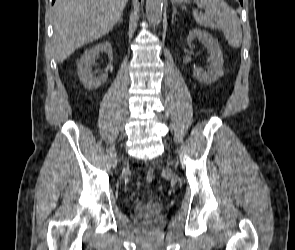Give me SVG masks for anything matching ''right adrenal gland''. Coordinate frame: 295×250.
<instances>
[{
    "label": "right adrenal gland",
    "mask_w": 295,
    "mask_h": 250,
    "mask_svg": "<svg viewBox=\"0 0 295 250\" xmlns=\"http://www.w3.org/2000/svg\"><path fill=\"white\" fill-rule=\"evenodd\" d=\"M123 23V19H122V15L119 17V19L117 20V22L116 23Z\"/></svg>",
    "instance_id": "2a0ac1e0"
}]
</instances>
